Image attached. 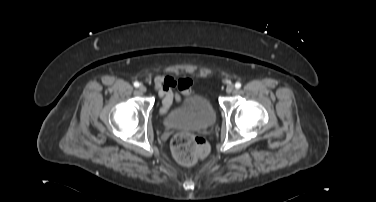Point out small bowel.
<instances>
[{
    "label": "small bowel",
    "instance_id": "c3829d8e",
    "mask_svg": "<svg viewBox=\"0 0 376 202\" xmlns=\"http://www.w3.org/2000/svg\"><path fill=\"white\" fill-rule=\"evenodd\" d=\"M154 84L162 104L161 114L166 113L174 102L180 104L182 96H189L193 93V81L190 78L176 79L172 76H157Z\"/></svg>",
    "mask_w": 376,
    "mask_h": 202
}]
</instances>
